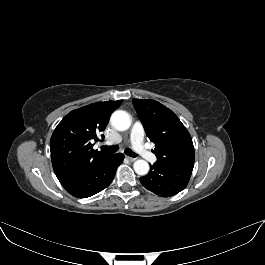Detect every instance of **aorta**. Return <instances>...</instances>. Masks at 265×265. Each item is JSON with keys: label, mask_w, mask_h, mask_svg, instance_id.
Returning a JSON list of instances; mask_svg holds the SVG:
<instances>
[{"label": "aorta", "mask_w": 265, "mask_h": 265, "mask_svg": "<svg viewBox=\"0 0 265 265\" xmlns=\"http://www.w3.org/2000/svg\"><path fill=\"white\" fill-rule=\"evenodd\" d=\"M132 120L130 115L123 111H115L111 115V124L118 131H125L131 126ZM134 170L138 175H146L149 172V164L147 161L139 159L133 164Z\"/></svg>", "instance_id": "obj_1"}]
</instances>
